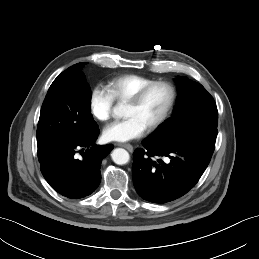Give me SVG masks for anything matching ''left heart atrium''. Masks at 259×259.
<instances>
[{
    "label": "left heart atrium",
    "instance_id": "1",
    "mask_svg": "<svg viewBox=\"0 0 259 259\" xmlns=\"http://www.w3.org/2000/svg\"><path fill=\"white\" fill-rule=\"evenodd\" d=\"M146 127L135 117H127L108 125L103 132L109 141L126 142L144 134Z\"/></svg>",
    "mask_w": 259,
    "mask_h": 259
}]
</instances>
